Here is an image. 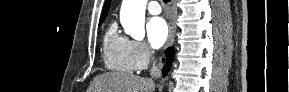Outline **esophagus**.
Returning <instances> with one entry per match:
<instances>
[{
    "label": "esophagus",
    "instance_id": "34e87169",
    "mask_svg": "<svg viewBox=\"0 0 289 92\" xmlns=\"http://www.w3.org/2000/svg\"><path fill=\"white\" fill-rule=\"evenodd\" d=\"M175 32H176L175 23H174V21H171L170 25H169V35H168V39H167V43H166V48L171 46V44L174 42Z\"/></svg>",
    "mask_w": 289,
    "mask_h": 92
}]
</instances>
